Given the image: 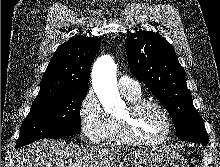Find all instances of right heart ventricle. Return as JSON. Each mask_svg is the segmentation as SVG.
Instances as JSON below:
<instances>
[{
    "mask_svg": "<svg viewBox=\"0 0 220 167\" xmlns=\"http://www.w3.org/2000/svg\"><path fill=\"white\" fill-rule=\"evenodd\" d=\"M124 96L130 101H135L140 99V94L138 95H130V94H124ZM110 143H113L115 145H121L124 144V142L121 140L119 135V125L117 118L110 117V128L107 135V139Z\"/></svg>",
    "mask_w": 220,
    "mask_h": 167,
    "instance_id": "obj_1",
    "label": "right heart ventricle"
}]
</instances>
